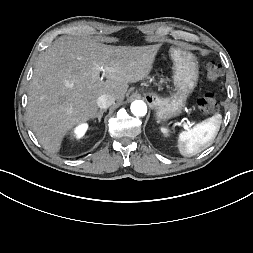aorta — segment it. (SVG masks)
<instances>
[{
    "label": "aorta",
    "instance_id": "obj_1",
    "mask_svg": "<svg viewBox=\"0 0 253 253\" xmlns=\"http://www.w3.org/2000/svg\"><path fill=\"white\" fill-rule=\"evenodd\" d=\"M131 112L135 115V116H145L147 113V105L144 101L142 100H135L131 103Z\"/></svg>",
    "mask_w": 253,
    "mask_h": 253
}]
</instances>
